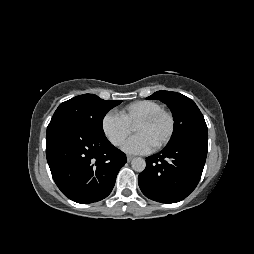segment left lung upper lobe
I'll return each instance as SVG.
<instances>
[{
	"label": "left lung upper lobe",
	"instance_id": "left-lung-upper-lobe-1",
	"mask_svg": "<svg viewBox=\"0 0 254 254\" xmlns=\"http://www.w3.org/2000/svg\"><path fill=\"white\" fill-rule=\"evenodd\" d=\"M147 99H159L172 111L174 130L167 146L190 138L208 139L206 122L192 99L171 91H157Z\"/></svg>",
	"mask_w": 254,
	"mask_h": 254
}]
</instances>
